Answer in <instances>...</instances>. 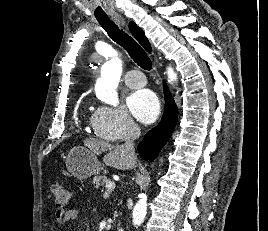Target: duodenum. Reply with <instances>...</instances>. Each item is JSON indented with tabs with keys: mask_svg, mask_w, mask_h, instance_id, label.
<instances>
[{
	"mask_svg": "<svg viewBox=\"0 0 268 231\" xmlns=\"http://www.w3.org/2000/svg\"><path fill=\"white\" fill-rule=\"evenodd\" d=\"M117 231H125L124 228H119Z\"/></svg>",
	"mask_w": 268,
	"mask_h": 231,
	"instance_id": "1",
	"label": "duodenum"
}]
</instances>
